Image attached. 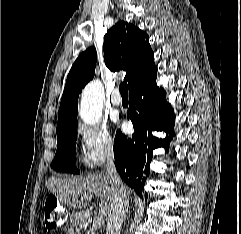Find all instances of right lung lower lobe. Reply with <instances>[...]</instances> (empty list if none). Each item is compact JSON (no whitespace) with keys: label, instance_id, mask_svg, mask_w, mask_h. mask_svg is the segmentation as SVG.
Here are the masks:
<instances>
[{"label":"right lung lower lobe","instance_id":"obj_1","mask_svg":"<svg viewBox=\"0 0 241 234\" xmlns=\"http://www.w3.org/2000/svg\"><path fill=\"white\" fill-rule=\"evenodd\" d=\"M157 68L143 81L129 90L131 119L135 133L132 138L117 131L114 140V157L121 178L141 197L146 178L150 173L152 152L155 148H169L174 136L175 115L166 101L163 88L156 84ZM169 133L165 139L152 135L153 131ZM145 198L147 195L145 193Z\"/></svg>","mask_w":241,"mask_h":234}]
</instances>
